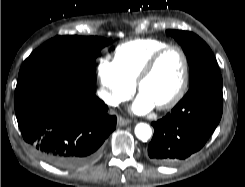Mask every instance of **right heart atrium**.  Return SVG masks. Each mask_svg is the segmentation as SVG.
Segmentation results:
<instances>
[{"label": "right heart atrium", "instance_id": "d8ad5b80", "mask_svg": "<svg viewBox=\"0 0 245 187\" xmlns=\"http://www.w3.org/2000/svg\"><path fill=\"white\" fill-rule=\"evenodd\" d=\"M99 79L98 95L108 106H117L128 100L135 91L131 83L121 72L114 60L101 57L97 61Z\"/></svg>", "mask_w": 245, "mask_h": 187}]
</instances>
